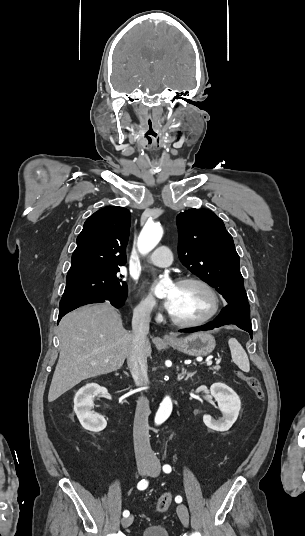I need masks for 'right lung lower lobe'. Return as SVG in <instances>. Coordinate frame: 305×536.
<instances>
[{
    "mask_svg": "<svg viewBox=\"0 0 305 536\" xmlns=\"http://www.w3.org/2000/svg\"><path fill=\"white\" fill-rule=\"evenodd\" d=\"M105 301H109L114 307L119 308L121 307L125 302L126 299H114V298H101V297H93V296H85V295H79V296H69V297H62L60 301L59 306V320L68 312L86 304L90 303H102Z\"/></svg>",
    "mask_w": 305,
    "mask_h": 536,
    "instance_id": "right-lung-lower-lobe-1",
    "label": "right lung lower lobe"
}]
</instances>
